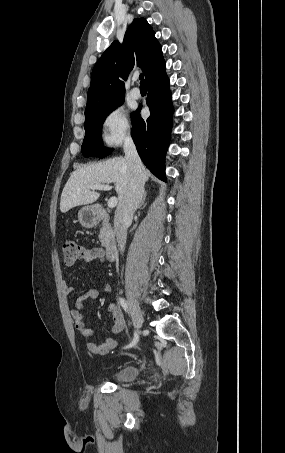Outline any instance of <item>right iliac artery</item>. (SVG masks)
<instances>
[{
  "mask_svg": "<svg viewBox=\"0 0 285 453\" xmlns=\"http://www.w3.org/2000/svg\"><path fill=\"white\" fill-rule=\"evenodd\" d=\"M119 303L121 304V306L123 307V309L128 312V307H127V304L125 302L124 299L122 298H119ZM138 339H139V336L137 333H134V337H133V340L130 342L129 345H127L125 348H131L133 347L134 345H136V343L138 342Z\"/></svg>",
  "mask_w": 285,
  "mask_h": 453,
  "instance_id": "obj_1",
  "label": "right iliac artery"
}]
</instances>
